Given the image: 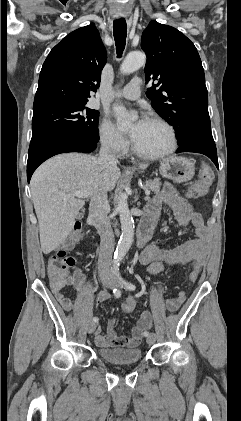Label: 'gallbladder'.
<instances>
[{"mask_svg": "<svg viewBox=\"0 0 241 421\" xmlns=\"http://www.w3.org/2000/svg\"><path fill=\"white\" fill-rule=\"evenodd\" d=\"M81 216H82V214H81V213H79V214L77 215V218H81Z\"/></svg>", "mask_w": 241, "mask_h": 421, "instance_id": "1", "label": "gallbladder"}]
</instances>
